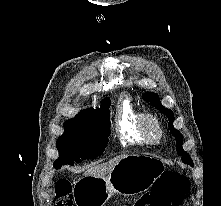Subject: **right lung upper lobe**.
Instances as JSON below:
<instances>
[{
	"label": "right lung upper lobe",
	"instance_id": "1",
	"mask_svg": "<svg viewBox=\"0 0 221 206\" xmlns=\"http://www.w3.org/2000/svg\"><path fill=\"white\" fill-rule=\"evenodd\" d=\"M110 106V100L109 98H106L103 102H102V106L100 109H87V110H83L82 112H80L77 116L79 115H86V114H91V113H95V112H106L109 111L108 108Z\"/></svg>",
	"mask_w": 221,
	"mask_h": 206
}]
</instances>
